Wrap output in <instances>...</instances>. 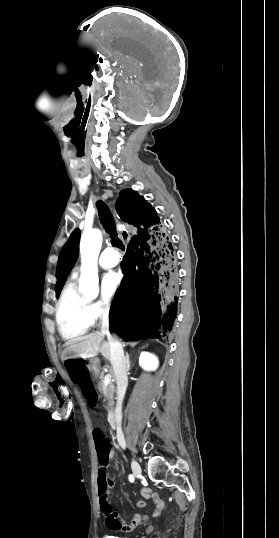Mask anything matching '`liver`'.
Listing matches in <instances>:
<instances>
[{
    "label": "liver",
    "instance_id": "6515ba94",
    "mask_svg": "<svg viewBox=\"0 0 279 538\" xmlns=\"http://www.w3.org/2000/svg\"><path fill=\"white\" fill-rule=\"evenodd\" d=\"M65 354H72L69 358H95L101 352L106 360H110V346L104 342V334H88L78 342H66ZM66 358V360H69Z\"/></svg>",
    "mask_w": 279,
    "mask_h": 538
}]
</instances>
